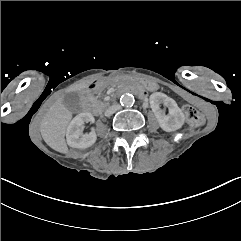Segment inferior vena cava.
<instances>
[{
  "instance_id": "602c4592",
  "label": "inferior vena cava",
  "mask_w": 241,
  "mask_h": 241,
  "mask_svg": "<svg viewBox=\"0 0 241 241\" xmlns=\"http://www.w3.org/2000/svg\"><path fill=\"white\" fill-rule=\"evenodd\" d=\"M120 108L121 106L119 104H113L105 110L104 115L106 117H109L113 115L115 112H117L118 110H120Z\"/></svg>"
}]
</instances>
